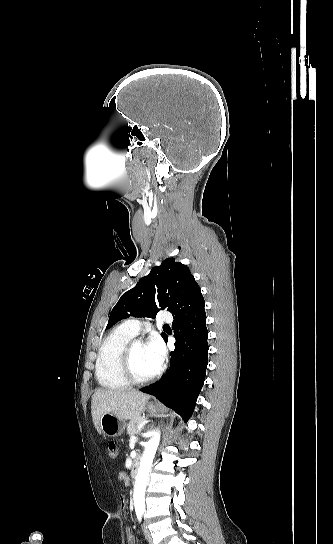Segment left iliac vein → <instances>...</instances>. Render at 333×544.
<instances>
[{
  "label": "left iliac vein",
  "mask_w": 333,
  "mask_h": 544,
  "mask_svg": "<svg viewBox=\"0 0 333 544\" xmlns=\"http://www.w3.org/2000/svg\"><path fill=\"white\" fill-rule=\"evenodd\" d=\"M144 533H145L146 539L149 542V544H152L153 543L152 536H151V533H150V531H149V529L147 527L146 522H144Z\"/></svg>",
  "instance_id": "left-iliac-vein-1"
}]
</instances>
